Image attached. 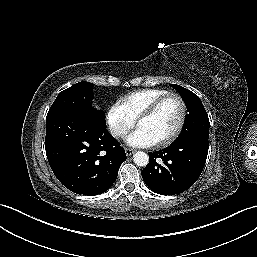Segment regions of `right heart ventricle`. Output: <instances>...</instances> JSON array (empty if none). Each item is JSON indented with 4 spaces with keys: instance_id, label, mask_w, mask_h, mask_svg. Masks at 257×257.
<instances>
[{
    "instance_id": "right-heart-ventricle-1",
    "label": "right heart ventricle",
    "mask_w": 257,
    "mask_h": 257,
    "mask_svg": "<svg viewBox=\"0 0 257 257\" xmlns=\"http://www.w3.org/2000/svg\"><path fill=\"white\" fill-rule=\"evenodd\" d=\"M168 93H170V91L160 88L140 89L125 95L121 102L128 113L134 119H137L154 101Z\"/></svg>"
}]
</instances>
